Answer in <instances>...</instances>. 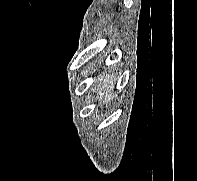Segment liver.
I'll list each match as a JSON object with an SVG mask.
<instances>
[{"label": "liver", "mask_w": 197, "mask_h": 181, "mask_svg": "<svg viewBox=\"0 0 197 181\" xmlns=\"http://www.w3.org/2000/svg\"><path fill=\"white\" fill-rule=\"evenodd\" d=\"M117 80V77L114 75L111 76H103L100 74L97 79V85L96 90L99 93V99L101 100L102 104H105L106 106L108 103L116 97V94L113 93V95H110L111 90H113L115 86V82Z\"/></svg>", "instance_id": "1"}]
</instances>
